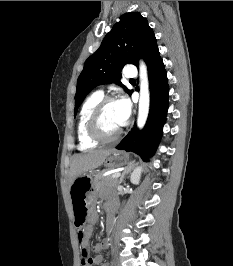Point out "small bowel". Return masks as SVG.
Listing matches in <instances>:
<instances>
[{"instance_id": "1", "label": "small bowel", "mask_w": 233, "mask_h": 266, "mask_svg": "<svg viewBox=\"0 0 233 266\" xmlns=\"http://www.w3.org/2000/svg\"><path fill=\"white\" fill-rule=\"evenodd\" d=\"M111 205H114V204L112 203ZM96 219H97V214L95 211H92V213L90 215V222L94 223L96 221ZM112 224H113V221L107 223L108 229H111ZM91 234H92V228L89 226V227L85 228L84 230H82V237L80 240L81 251L83 249H87L89 252L91 251V252L97 254L95 257L91 258L90 263L86 266H94V265H96V266H98V265L108 266L107 264L103 263L104 257H103V255H101L99 253L103 249L108 247L109 241L107 239H104V240L96 243L91 249H89L88 242H89Z\"/></svg>"}]
</instances>
